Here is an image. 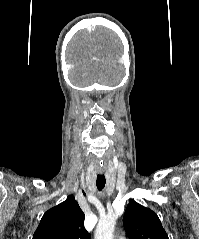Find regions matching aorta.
<instances>
[{
	"mask_svg": "<svg viewBox=\"0 0 199 239\" xmlns=\"http://www.w3.org/2000/svg\"><path fill=\"white\" fill-rule=\"evenodd\" d=\"M116 217L109 214L101 218L95 231V239H113Z\"/></svg>",
	"mask_w": 199,
	"mask_h": 239,
	"instance_id": "1",
	"label": "aorta"
}]
</instances>
